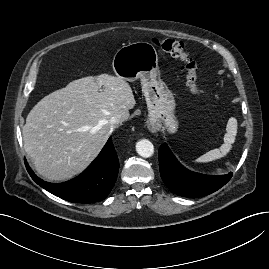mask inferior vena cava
I'll return each mask as SVG.
<instances>
[{
    "label": "inferior vena cava",
    "mask_w": 269,
    "mask_h": 269,
    "mask_svg": "<svg viewBox=\"0 0 269 269\" xmlns=\"http://www.w3.org/2000/svg\"><path fill=\"white\" fill-rule=\"evenodd\" d=\"M123 119L120 115L113 116L110 118L109 123L113 128H115L119 123H122Z\"/></svg>",
    "instance_id": "inferior-vena-cava-1"
}]
</instances>
